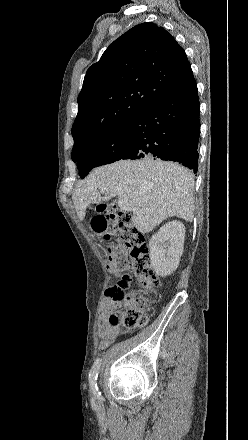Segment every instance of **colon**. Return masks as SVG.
I'll list each match as a JSON object with an SVG mask.
<instances>
[{"instance_id":"obj_1","label":"colon","mask_w":248,"mask_h":440,"mask_svg":"<svg viewBox=\"0 0 248 440\" xmlns=\"http://www.w3.org/2000/svg\"><path fill=\"white\" fill-rule=\"evenodd\" d=\"M95 218L108 219L109 231L116 237L117 242L105 247L107 268L112 273L122 274L117 283L106 288V301L114 309L122 308L121 318L126 328L143 327L148 321V312L151 309V300L147 293L160 283L151 266L148 246L143 235L133 225L131 215L121 212L115 205L103 206ZM129 271L136 275L142 288L141 292H126L130 285ZM108 321L112 326H117L120 318L112 313Z\"/></svg>"}]
</instances>
